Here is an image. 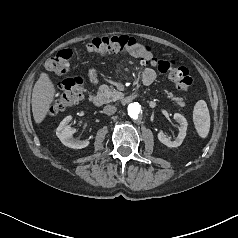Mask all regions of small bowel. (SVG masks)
I'll return each mask as SVG.
<instances>
[{
	"instance_id": "1",
	"label": "small bowel",
	"mask_w": 238,
	"mask_h": 238,
	"mask_svg": "<svg viewBox=\"0 0 238 238\" xmlns=\"http://www.w3.org/2000/svg\"><path fill=\"white\" fill-rule=\"evenodd\" d=\"M130 55L134 58L141 59L140 51L130 53ZM88 78L93 85H96L98 83V71L96 69H91L88 73ZM156 78H157V73L152 68H146L141 73V82L144 85L152 84L156 80Z\"/></svg>"
}]
</instances>
